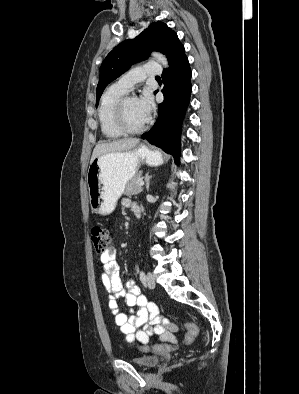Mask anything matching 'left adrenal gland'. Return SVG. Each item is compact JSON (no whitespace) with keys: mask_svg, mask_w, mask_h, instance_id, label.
Instances as JSON below:
<instances>
[{"mask_svg":"<svg viewBox=\"0 0 299 394\" xmlns=\"http://www.w3.org/2000/svg\"><path fill=\"white\" fill-rule=\"evenodd\" d=\"M151 178H152V176H149L148 174L146 175L145 181H146L147 192L149 191V185H150V179Z\"/></svg>","mask_w":299,"mask_h":394,"instance_id":"left-adrenal-gland-1","label":"left adrenal gland"}]
</instances>
